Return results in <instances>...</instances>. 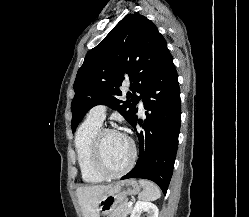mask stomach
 <instances>
[{
  "mask_svg": "<svg viewBox=\"0 0 249 217\" xmlns=\"http://www.w3.org/2000/svg\"><path fill=\"white\" fill-rule=\"evenodd\" d=\"M139 192L140 185L135 179L118 181L100 197L98 210L104 215L111 214L117 206L126 201L128 196Z\"/></svg>",
  "mask_w": 249,
  "mask_h": 217,
  "instance_id": "1",
  "label": "stomach"
}]
</instances>
